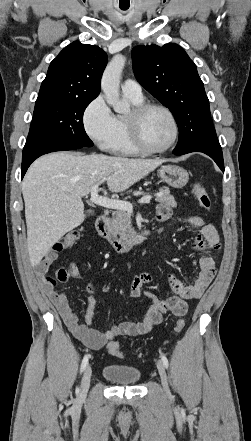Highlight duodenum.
Segmentation results:
<instances>
[{"instance_id": "410a0bca", "label": "duodenum", "mask_w": 251, "mask_h": 441, "mask_svg": "<svg viewBox=\"0 0 251 441\" xmlns=\"http://www.w3.org/2000/svg\"><path fill=\"white\" fill-rule=\"evenodd\" d=\"M95 226L98 234L105 238L114 248V250L119 253L128 252L133 247L141 245L146 240V236L144 234L135 235L130 240H121L117 238L111 233L107 217L104 215H101L96 219Z\"/></svg>"}]
</instances>
